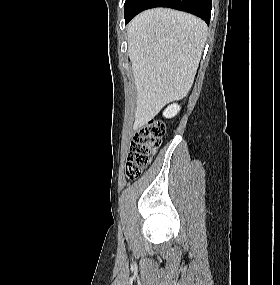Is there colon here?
<instances>
[{"label":"colon","instance_id":"colon-1","mask_svg":"<svg viewBox=\"0 0 280 285\" xmlns=\"http://www.w3.org/2000/svg\"><path fill=\"white\" fill-rule=\"evenodd\" d=\"M165 128L161 122L152 121L139 126L134 134L127 156L126 175L130 180L146 169L162 142Z\"/></svg>","mask_w":280,"mask_h":285}]
</instances>
